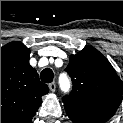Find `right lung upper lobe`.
Returning a JSON list of instances; mask_svg holds the SVG:
<instances>
[{
	"label": "right lung upper lobe",
	"instance_id": "right-lung-upper-lobe-1",
	"mask_svg": "<svg viewBox=\"0 0 123 123\" xmlns=\"http://www.w3.org/2000/svg\"><path fill=\"white\" fill-rule=\"evenodd\" d=\"M30 50L20 42L1 48V123H31L48 93L29 64Z\"/></svg>",
	"mask_w": 123,
	"mask_h": 123
}]
</instances>
